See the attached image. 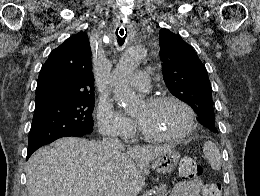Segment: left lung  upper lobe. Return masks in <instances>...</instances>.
I'll return each mask as SVG.
<instances>
[{
  "label": "left lung upper lobe",
  "mask_w": 260,
  "mask_h": 196,
  "mask_svg": "<svg viewBox=\"0 0 260 196\" xmlns=\"http://www.w3.org/2000/svg\"><path fill=\"white\" fill-rule=\"evenodd\" d=\"M162 72L169 91L189 104L196 113H214L212 88L207 70L193 48L179 35L161 29L159 35ZM218 133L215 122L205 126Z\"/></svg>",
  "instance_id": "obj_1"
}]
</instances>
